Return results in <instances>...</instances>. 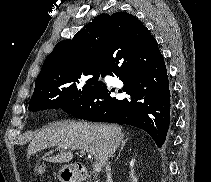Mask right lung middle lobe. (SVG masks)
I'll return each mask as SVG.
<instances>
[{
	"label": "right lung middle lobe",
	"instance_id": "dd1d6c3e",
	"mask_svg": "<svg viewBox=\"0 0 211 182\" xmlns=\"http://www.w3.org/2000/svg\"><path fill=\"white\" fill-rule=\"evenodd\" d=\"M100 72L101 69H93L35 88L29 110L62 108L64 112L70 113L92 93Z\"/></svg>",
	"mask_w": 211,
	"mask_h": 182
}]
</instances>
